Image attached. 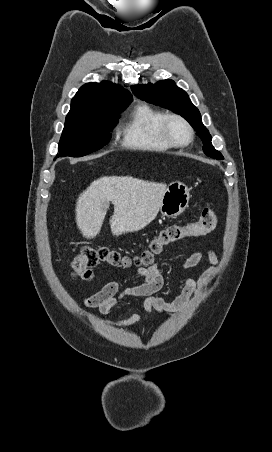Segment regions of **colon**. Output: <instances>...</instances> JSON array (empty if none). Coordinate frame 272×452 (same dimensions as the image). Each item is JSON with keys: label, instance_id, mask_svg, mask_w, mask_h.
<instances>
[{"label": "colon", "instance_id": "colon-1", "mask_svg": "<svg viewBox=\"0 0 272 452\" xmlns=\"http://www.w3.org/2000/svg\"><path fill=\"white\" fill-rule=\"evenodd\" d=\"M216 223L217 215L215 210L212 207H206L197 220L187 224H170L158 231L155 236L147 240L144 248L133 260L106 246L92 247L84 245L70 264L71 272L74 276L88 280L92 276L91 269L100 263L123 266H128L132 263L150 265L154 257L161 253L166 246L185 237L207 234L215 228Z\"/></svg>", "mask_w": 272, "mask_h": 452}]
</instances>
